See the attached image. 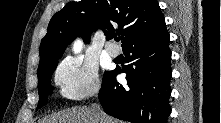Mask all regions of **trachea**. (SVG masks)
<instances>
[{
    "label": "trachea",
    "mask_w": 221,
    "mask_h": 123,
    "mask_svg": "<svg viewBox=\"0 0 221 123\" xmlns=\"http://www.w3.org/2000/svg\"><path fill=\"white\" fill-rule=\"evenodd\" d=\"M119 39H120V38H118V37H117V38H115V40H116V41H119Z\"/></svg>",
    "instance_id": "trachea-1"
}]
</instances>
